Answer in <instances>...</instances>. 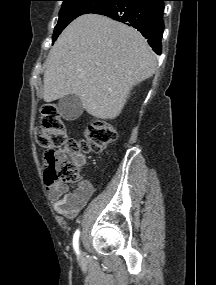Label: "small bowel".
Returning <instances> with one entry per match:
<instances>
[{
	"instance_id": "small-bowel-1",
	"label": "small bowel",
	"mask_w": 216,
	"mask_h": 285,
	"mask_svg": "<svg viewBox=\"0 0 216 285\" xmlns=\"http://www.w3.org/2000/svg\"><path fill=\"white\" fill-rule=\"evenodd\" d=\"M77 166L82 168L85 164L83 155L78 154ZM48 191L54 200L55 210L68 218L75 217L91 198L94 188L89 183H83L73 191H69L67 185L55 183L48 185Z\"/></svg>"
}]
</instances>
